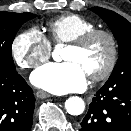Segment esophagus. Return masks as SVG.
I'll use <instances>...</instances> for the list:
<instances>
[{
  "instance_id": "esophagus-1",
  "label": "esophagus",
  "mask_w": 131,
  "mask_h": 131,
  "mask_svg": "<svg viewBox=\"0 0 131 131\" xmlns=\"http://www.w3.org/2000/svg\"><path fill=\"white\" fill-rule=\"evenodd\" d=\"M36 96H37L38 98L44 99V98L50 97L51 95H50L49 93L45 92V91L38 90V91L36 92Z\"/></svg>"
}]
</instances>
